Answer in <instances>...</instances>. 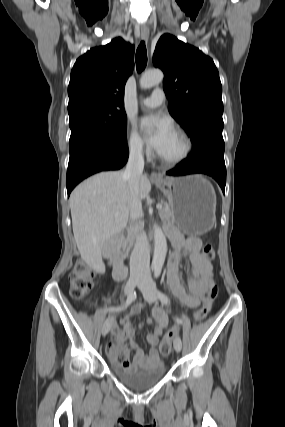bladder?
I'll return each instance as SVG.
<instances>
[{
  "label": "bladder",
  "mask_w": 285,
  "mask_h": 427,
  "mask_svg": "<svg viewBox=\"0 0 285 427\" xmlns=\"http://www.w3.org/2000/svg\"><path fill=\"white\" fill-rule=\"evenodd\" d=\"M114 373L127 386L135 390H146L156 385L166 374V367L160 364L151 369L130 370L115 366Z\"/></svg>",
  "instance_id": "1"
}]
</instances>
